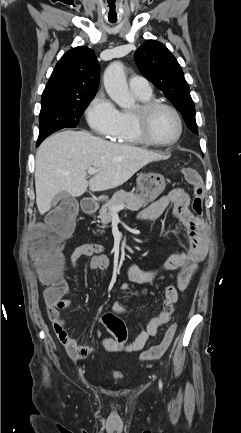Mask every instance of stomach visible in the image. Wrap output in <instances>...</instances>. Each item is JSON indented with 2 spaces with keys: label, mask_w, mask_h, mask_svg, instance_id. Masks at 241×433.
Listing matches in <instances>:
<instances>
[{
  "label": "stomach",
  "mask_w": 241,
  "mask_h": 433,
  "mask_svg": "<svg viewBox=\"0 0 241 433\" xmlns=\"http://www.w3.org/2000/svg\"><path fill=\"white\" fill-rule=\"evenodd\" d=\"M137 187L141 195L151 202L165 190L166 182L161 174L142 173L137 178Z\"/></svg>",
  "instance_id": "1"
}]
</instances>
